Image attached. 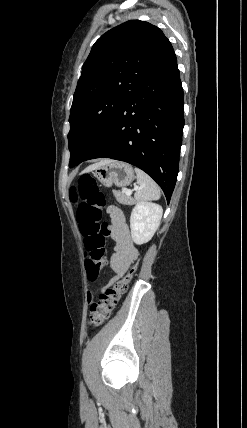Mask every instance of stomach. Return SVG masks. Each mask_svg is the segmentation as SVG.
Wrapping results in <instances>:
<instances>
[{
    "label": "stomach",
    "mask_w": 247,
    "mask_h": 428,
    "mask_svg": "<svg viewBox=\"0 0 247 428\" xmlns=\"http://www.w3.org/2000/svg\"><path fill=\"white\" fill-rule=\"evenodd\" d=\"M93 174L105 187H111L113 184L117 187H126L135 177L133 167L120 161L101 165L94 169Z\"/></svg>",
    "instance_id": "0dacf381"
}]
</instances>
